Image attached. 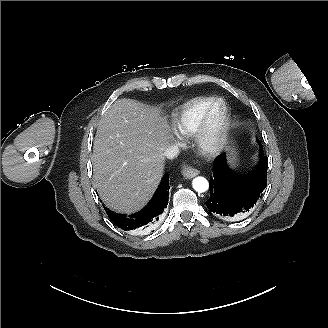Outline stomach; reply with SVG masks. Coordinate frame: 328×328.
<instances>
[{
	"label": "stomach",
	"mask_w": 328,
	"mask_h": 328,
	"mask_svg": "<svg viewBox=\"0 0 328 328\" xmlns=\"http://www.w3.org/2000/svg\"><path fill=\"white\" fill-rule=\"evenodd\" d=\"M224 146H225V150H227L229 152V161L232 164H236L237 163V152H236L232 142L229 139H226V141L224 142Z\"/></svg>",
	"instance_id": "obj_1"
}]
</instances>
